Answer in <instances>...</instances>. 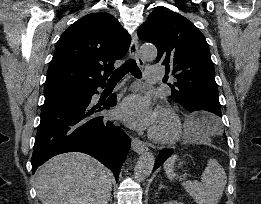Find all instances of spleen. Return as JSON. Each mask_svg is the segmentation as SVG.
Wrapping results in <instances>:
<instances>
[{
    "mask_svg": "<svg viewBox=\"0 0 261 204\" xmlns=\"http://www.w3.org/2000/svg\"><path fill=\"white\" fill-rule=\"evenodd\" d=\"M194 125H187L189 140L195 143H207L209 141V132L204 130L198 121ZM177 155L170 157L164 164V170L169 179H174L173 170ZM227 176L223 167L216 159H209L207 167L201 176V182L186 181L182 186L197 204H217L222 197Z\"/></svg>",
    "mask_w": 261,
    "mask_h": 204,
    "instance_id": "obj_1",
    "label": "spleen"
}]
</instances>
